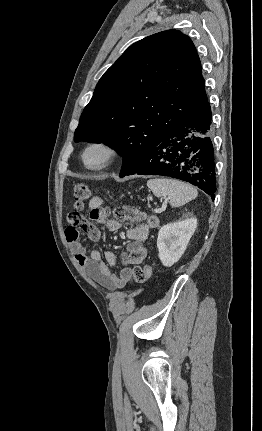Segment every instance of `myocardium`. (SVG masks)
<instances>
[{
  "instance_id": "myocardium-1",
  "label": "myocardium",
  "mask_w": 262,
  "mask_h": 431,
  "mask_svg": "<svg viewBox=\"0 0 262 431\" xmlns=\"http://www.w3.org/2000/svg\"><path fill=\"white\" fill-rule=\"evenodd\" d=\"M99 150L102 152V160L97 165H89L87 163V155L93 151ZM119 156L118 148L110 141L99 139L87 144L84 148L81 159L84 167L90 171H101L111 167Z\"/></svg>"
}]
</instances>
